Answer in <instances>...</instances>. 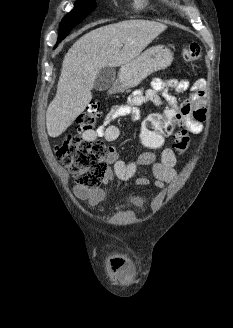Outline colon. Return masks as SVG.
Masks as SVG:
<instances>
[{
    "label": "colon",
    "mask_w": 233,
    "mask_h": 328,
    "mask_svg": "<svg viewBox=\"0 0 233 328\" xmlns=\"http://www.w3.org/2000/svg\"><path fill=\"white\" fill-rule=\"evenodd\" d=\"M201 57V47L197 43L189 44L183 51L187 62H194ZM100 110L97 104H90L77 118V126L81 131L92 130ZM188 129L182 114L173 109L164 113L150 115L141 130V142L144 147L156 150L163 146L167 136L174 138V148L183 152L189 145ZM107 150L99 140H85L82 136L69 134L56 147L58 161L69 169L76 178L77 184L87 190H97L102 184L108 165Z\"/></svg>",
    "instance_id": "5ec220e1"
}]
</instances>
